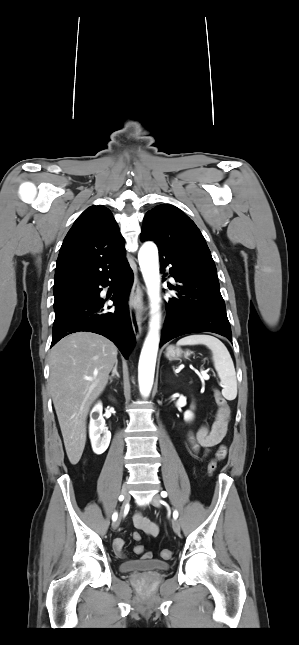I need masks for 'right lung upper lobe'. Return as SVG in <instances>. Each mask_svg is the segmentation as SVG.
Listing matches in <instances>:
<instances>
[{
	"label": "right lung upper lobe",
	"mask_w": 299,
	"mask_h": 645,
	"mask_svg": "<svg viewBox=\"0 0 299 645\" xmlns=\"http://www.w3.org/2000/svg\"><path fill=\"white\" fill-rule=\"evenodd\" d=\"M124 243L111 211L103 205L90 206L63 241L53 290L90 284L115 271L126 260Z\"/></svg>",
	"instance_id": "cb5924a9"
}]
</instances>
